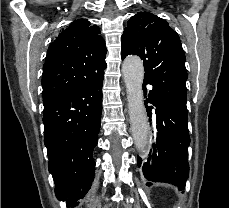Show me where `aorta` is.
<instances>
[{"label": "aorta", "instance_id": "762f6f07", "mask_svg": "<svg viewBox=\"0 0 229 208\" xmlns=\"http://www.w3.org/2000/svg\"><path fill=\"white\" fill-rule=\"evenodd\" d=\"M127 89L131 131L136 148L145 152L149 144V125L143 99L144 67L137 56L127 57L122 64Z\"/></svg>", "mask_w": 229, "mask_h": 208}]
</instances>
